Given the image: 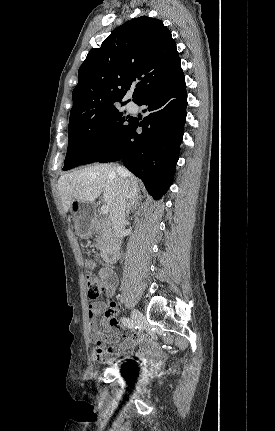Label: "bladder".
I'll return each instance as SVG.
<instances>
[{"mask_svg":"<svg viewBox=\"0 0 275 431\" xmlns=\"http://www.w3.org/2000/svg\"><path fill=\"white\" fill-rule=\"evenodd\" d=\"M126 361L125 360H118L115 362L116 366L115 369L121 374L123 375L125 372L123 370V367L126 366Z\"/></svg>","mask_w":275,"mask_h":431,"instance_id":"obj_1","label":"bladder"}]
</instances>
